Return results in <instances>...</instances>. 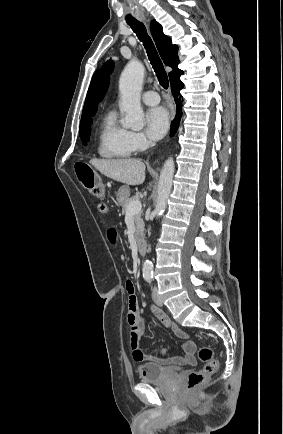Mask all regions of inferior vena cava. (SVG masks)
<instances>
[{
    "instance_id": "1",
    "label": "inferior vena cava",
    "mask_w": 283,
    "mask_h": 434,
    "mask_svg": "<svg viewBox=\"0 0 283 434\" xmlns=\"http://www.w3.org/2000/svg\"><path fill=\"white\" fill-rule=\"evenodd\" d=\"M150 145L152 146V145H153V143H152V142H150Z\"/></svg>"
}]
</instances>
